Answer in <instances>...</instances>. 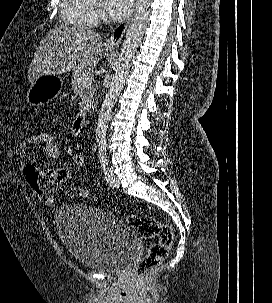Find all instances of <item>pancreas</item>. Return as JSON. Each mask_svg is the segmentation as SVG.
Returning a JSON list of instances; mask_svg holds the SVG:
<instances>
[{
    "instance_id": "cf45deb5",
    "label": "pancreas",
    "mask_w": 272,
    "mask_h": 303,
    "mask_svg": "<svg viewBox=\"0 0 272 303\" xmlns=\"http://www.w3.org/2000/svg\"><path fill=\"white\" fill-rule=\"evenodd\" d=\"M86 76H89V74L87 72H82L80 74H75L72 77V89L79 95L81 107L87 105V102L93 97L95 91L92 85H82V78Z\"/></svg>"
}]
</instances>
